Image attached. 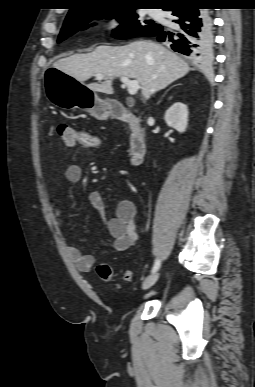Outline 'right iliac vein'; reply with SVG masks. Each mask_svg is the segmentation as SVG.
<instances>
[{"instance_id":"right-iliac-vein-1","label":"right iliac vein","mask_w":255,"mask_h":387,"mask_svg":"<svg viewBox=\"0 0 255 387\" xmlns=\"http://www.w3.org/2000/svg\"><path fill=\"white\" fill-rule=\"evenodd\" d=\"M158 278H159V273H153L152 275L148 276V277L144 280V282H143V284H142V288H143L144 290L149 289L150 287H152V286L156 283V281L158 280Z\"/></svg>"}]
</instances>
